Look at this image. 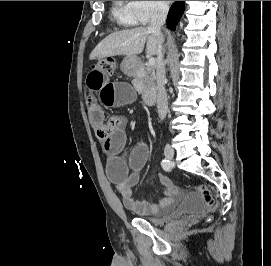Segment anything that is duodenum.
<instances>
[{
  "label": "duodenum",
  "instance_id": "obj_1",
  "mask_svg": "<svg viewBox=\"0 0 271 266\" xmlns=\"http://www.w3.org/2000/svg\"><path fill=\"white\" fill-rule=\"evenodd\" d=\"M140 63L138 60L134 59L129 62V67L131 68L132 72H138ZM157 98V91L155 88H151L146 90L143 93V100L146 105H152L155 103Z\"/></svg>",
  "mask_w": 271,
  "mask_h": 266
}]
</instances>
